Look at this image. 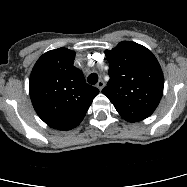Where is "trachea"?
I'll list each match as a JSON object with an SVG mask.
<instances>
[{"label":"trachea","mask_w":187,"mask_h":187,"mask_svg":"<svg viewBox=\"0 0 187 187\" xmlns=\"http://www.w3.org/2000/svg\"><path fill=\"white\" fill-rule=\"evenodd\" d=\"M87 81L89 84H96L98 81V75L96 73H92L88 76Z\"/></svg>","instance_id":"3493384b"}]
</instances>
